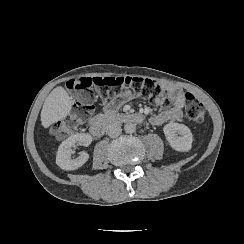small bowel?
<instances>
[{"instance_id": "small-bowel-1", "label": "small bowel", "mask_w": 244, "mask_h": 244, "mask_svg": "<svg viewBox=\"0 0 244 244\" xmlns=\"http://www.w3.org/2000/svg\"><path fill=\"white\" fill-rule=\"evenodd\" d=\"M163 90L166 93L168 101L171 103L169 108H166L158 114L150 118V122L153 125H163L167 122L179 121L183 117V109L186 105V93L183 89L173 83H163ZM132 99V93L130 90H125L120 96L114 98L111 101V106L114 108L121 107L125 103ZM157 104L162 102L156 101ZM100 120L99 117L93 118L90 123Z\"/></svg>"}]
</instances>
